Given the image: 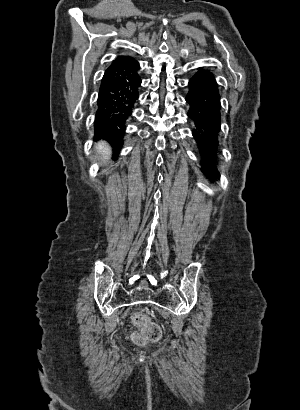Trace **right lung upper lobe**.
<instances>
[{
  "mask_svg": "<svg viewBox=\"0 0 300 410\" xmlns=\"http://www.w3.org/2000/svg\"><path fill=\"white\" fill-rule=\"evenodd\" d=\"M126 57L127 56H118V58L116 60L121 59V58H126Z\"/></svg>",
  "mask_w": 300,
  "mask_h": 410,
  "instance_id": "right-lung-upper-lobe-1",
  "label": "right lung upper lobe"
}]
</instances>
